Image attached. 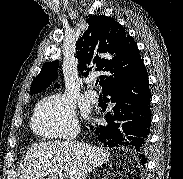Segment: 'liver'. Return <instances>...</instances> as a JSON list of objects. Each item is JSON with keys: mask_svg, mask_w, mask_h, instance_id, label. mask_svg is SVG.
<instances>
[{"mask_svg": "<svg viewBox=\"0 0 183 179\" xmlns=\"http://www.w3.org/2000/svg\"><path fill=\"white\" fill-rule=\"evenodd\" d=\"M109 158L107 150L82 142H42L28 149L20 179H44V173L54 168L62 170L69 179H86L92 169Z\"/></svg>", "mask_w": 183, "mask_h": 179, "instance_id": "obj_1", "label": "liver"}]
</instances>
